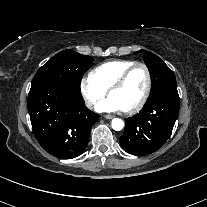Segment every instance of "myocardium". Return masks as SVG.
<instances>
[{
	"label": "myocardium",
	"instance_id": "obj_1",
	"mask_svg": "<svg viewBox=\"0 0 207 207\" xmlns=\"http://www.w3.org/2000/svg\"><path fill=\"white\" fill-rule=\"evenodd\" d=\"M138 67H141L146 74V77H147L146 89H145V92H144L142 98L140 99V101L137 104H135L134 106H132L129 109L122 110V112L126 115H131V114H134V113L140 111L145 106L146 102L148 101V99L150 97L151 90H152V76H151V72H150L148 66L142 62L133 63L114 81V83L110 86V88L108 90L109 91L108 93L110 95L114 90L122 87L123 84L125 83V81L127 80L128 76L131 74V72Z\"/></svg>",
	"mask_w": 207,
	"mask_h": 207
}]
</instances>
